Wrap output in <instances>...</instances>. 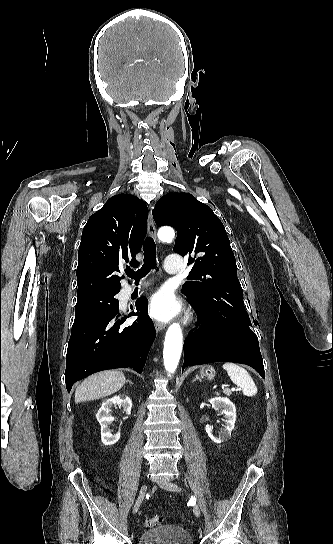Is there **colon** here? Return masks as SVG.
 I'll return each instance as SVG.
<instances>
[{
  "label": "colon",
  "instance_id": "obj_1",
  "mask_svg": "<svg viewBox=\"0 0 333 544\" xmlns=\"http://www.w3.org/2000/svg\"><path fill=\"white\" fill-rule=\"evenodd\" d=\"M161 523V518L159 517H151V518H147L144 522L145 526L147 528H154L156 526H158L159 524Z\"/></svg>",
  "mask_w": 333,
  "mask_h": 544
}]
</instances>
